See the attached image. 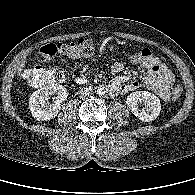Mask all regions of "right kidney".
I'll return each instance as SVG.
<instances>
[{"label": "right kidney", "instance_id": "ca27d5eb", "mask_svg": "<svg viewBox=\"0 0 195 195\" xmlns=\"http://www.w3.org/2000/svg\"><path fill=\"white\" fill-rule=\"evenodd\" d=\"M55 95V101L50 104L48 99ZM67 89L58 84L47 85L33 92L29 98V109L38 121H47L57 116L60 105L67 99Z\"/></svg>", "mask_w": 195, "mask_h": 195}]
</instances>
